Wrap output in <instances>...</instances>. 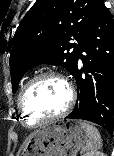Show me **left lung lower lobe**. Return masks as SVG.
<instances>
[{"label":"left lung lower lobe","mask_w":114,"mask_h":156,"mask_svg":"<svg viewBox=\"0 0 114 156\" xmlns=\"http://www.w3.org/2000/svg\"><path fill=\"white\" fill-rule=\"evenodd\" d=\"M82 73L85 75L82 76ZM73 76L78 101L66 117L97 123L109 133L114 129V19L100 1L81 41Z\"/></svg>","instance_id":"obj_1"}]
</instances>
